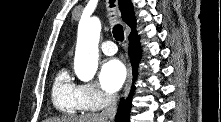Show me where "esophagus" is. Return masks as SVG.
<instances>
[{
    "instance_id": "34e87169",
    "label": "esophagus",
    "mask_w": 221,
    "mask_h": 122,
    "mask_svg": "<svg viewBox=\"0 0 221 122\" xmlns=\"http://www.w3.org/2000/svg\"><path fill=\"white\" fill-rule=\"evenodd\" d=\"M131 81H132V71L130 65H128V72H127V79L124 87V97L126 98L129 94L130 87H131Z\"/></svg>"
}]
</instances>
